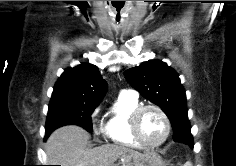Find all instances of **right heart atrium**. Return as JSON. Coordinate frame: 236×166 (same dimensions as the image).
<instances>
[{
    "label": "right heart atrium",
    "instance_id": "d8ad5b80",
    "mask_svg": "<svg viewBox=\"0 0 236 166\" xmlns=\"http://www.w3.org/2000/svg\"><path fill=\"white\" fill-rule=\"evenodd\" d=\"M100 109L96 108L91 114L92 127L95 134L100 135L105 132L103 124L99 118Z\"/></svg>",
    "mask_w": 236,
    "mask_h": 166
}]
</instances>
